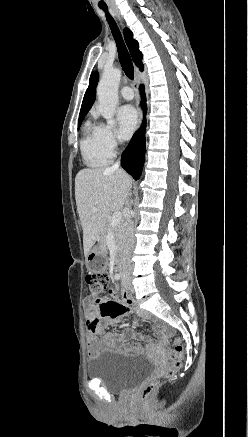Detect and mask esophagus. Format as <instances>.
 Returning a JSON list of instances; mask_svg holds the SVG:
<instances>
[{
	"mask_svg": "<svg viewBox=\"0 0 248 437\" xmlns=\"http://www.w3.org/2000/svg\"><path fill=\"white\" fill-rule=\"evenodd\" d=\"M136 71L138 73V69H136ZM139 85H140V79H139V77L137 75L136 78H135V82H134V88H135V91L137 93L138 100H140ZM138 113H139V124H141L142 119H143V112H142V108L140 106L138 107Z\"/></svg>",
	"mask_w": 248,
	"mask_h": 437,
	"instance_id": "1",
	"label": "esophagus"
}]
</instances>
